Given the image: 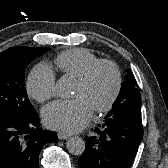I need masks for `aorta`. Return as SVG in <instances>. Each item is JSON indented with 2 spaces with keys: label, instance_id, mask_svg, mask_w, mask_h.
Masks as SVG:
<instances>
[{
  "label": "aorta",
  "instance_id": "1",
  "mask_svg": "<svg viewBox=\"0 0 168 168\" xmlns=\"http://www.w3.org/2000/svg\"><path fill=\"white\" fill-rule=\"evenodd\" d=\"M75 82L69 77H61L56 83V91L61 97H70L73 94ZM67 150L73 155H82L85 150V141L74 136L67 141Z\"/></svg>",
  "mask_w": 168,
  "mask_h": 168
}]
</instances>
